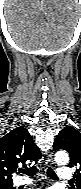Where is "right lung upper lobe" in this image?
Instances as JSON below:
<instances>
[{
    "label": "right lung upper lobe",
    "instance_id": "1",
    "mask_svg": "<svg viewBox=\"0 0 81 189\" xmlns=\"http://www.w3.org/2000/svg\"><path fill=\"white\" fill-rule=\"evenodd\" d=\"M41 152L30 133L24 127H17L0 138V186L12 184V174L18 164L28 160L37 161Z\"/></svg>",
    "mask_w": 81,
    "mask_h": 189
}]
</instances>
